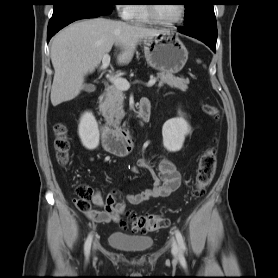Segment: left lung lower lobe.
I'll use <instances>...</instances> for the list:
<instances>
[{
	"label": "left lung lower lobe",
	"mask_w": 278,
	"mask_h": 278,
	"mask_svg": "<svg viewBox=\"0 0 278 278\" xmlns=\"http://www.w3.org/2000/svg\"><path fill=\"white\" fill-rule=\"evenodd\" d=\"M179 31L180 33H183L190 37H194L204 42L213 50V52L216 51L217 38L211 36L203 26L201 25L185 26L184 28L179 29Z\"/></svg>",
	"instance_id": "left-lung-lower-lobe-1"
}]
</instances>
